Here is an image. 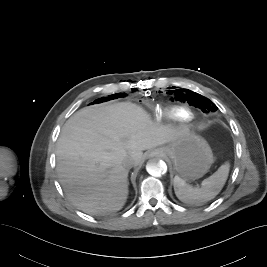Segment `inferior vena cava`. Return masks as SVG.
Returning a JSON list of instances; mask_svg holds the SVG:
<instances>
[{"label":"inferior vena cava","instance_id":"602c4592","mask_svg":"<svg viewBox=\"0 0 267 267\" xmlns=\"http://www.w3.org/2000/svg\"><path fill=\"white\" fill-rule=\"evenodd\" d=\"M124 166L127 168H131L132 166H134V161L130 158H127L124 160Z\"/></svg>","mask_w":267,"mask_h":267}]
</instances>
